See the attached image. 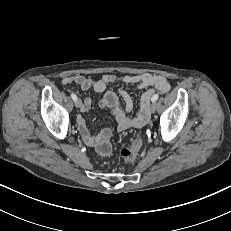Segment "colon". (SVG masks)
<instances>
[{"label": "colon", "instance_id": "5ec220e1", "mask_svg": "<svg viewBox=\"0 0 231 231\" xmlns=\"http://www.w3.org/2000/svg\"><path fill=\"white\" fill-rule=\"evenodd\" d=\"M142 146V138H136L129 147H125L121 150V157L125 163H130L135 160L138 152ZM97 152L102 156H107L112 150V145L110 141V131H102L101 139L96 146Z\"/></svg>", "mask_w": 231, "mask_h": 231}]
</instances>
